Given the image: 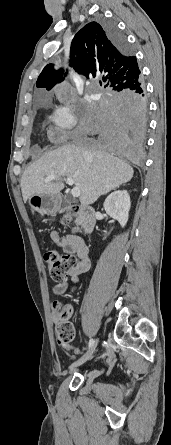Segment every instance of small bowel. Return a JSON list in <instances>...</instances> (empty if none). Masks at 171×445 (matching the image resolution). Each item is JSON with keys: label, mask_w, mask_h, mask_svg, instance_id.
Instances as JSON below:
<instances>
[{"label": "small bowel", "mask_w": 171, "mask_h": 445, "mask_svg": "<svg viewBox=\"0 0 171 445\" xmlns=\"http://www.w3.org/2000/svg\"><path fill=\"white\" fill-rule=\"evenodd\" d=\"M51 240L62 249V251L68 255H75L77 257L76 264L69 269L68 275L71 283H76L79 279V276L83 273L89 271L91 267L90 261V253L88 247L82 241V239L74 234H67L65 236H60L57 230H53L50 233ZM67 288V283H59L54 287V291L56 294H62L65 292ZM71 315V309H69V316ZM59 317L54 310L52 312V320L56 323ZM64 349L66 351L73 350L75 353L79 352L77 347H72L69 345H65Z\"/></svg>", "instance_id": "small-bowel-1"}]
</instances>
